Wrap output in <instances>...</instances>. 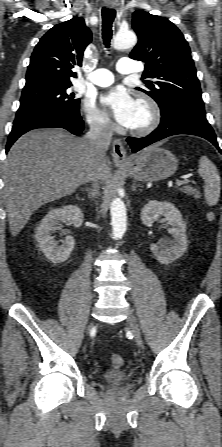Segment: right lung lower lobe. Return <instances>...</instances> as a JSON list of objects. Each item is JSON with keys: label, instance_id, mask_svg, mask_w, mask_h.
<instances>
[{"label": "right lung lower lobe", "instance_id": "obj_1", "mask_svg": "<svg viewBox=\"0 0 222 447\" xmlns=\"http://www.w3.org/2000/svg\"><path fill=\"white\" fill-rule=\"evenodd\" d=\"M60 127L78 135L84 129V122L79 110H61L46 116L33 118L19 123H14L9 135L6 152L12 144L24 133L36 128Z\"/></svg>", "mask_w": 222, "mask_h": 447}]
</instances>
